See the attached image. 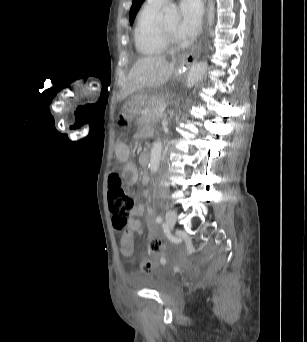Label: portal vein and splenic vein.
Listing matches in <instances>:
<instances>
[{
	"mask_svg": "<svg viewBox=\"0 0 307 342\" xmlns=\"http://www.w3.org/2000/svg\"><path fill=\"white\" fill-rule=\"evenodd\" d=\"M159 109H160L161 111H162V110L164 111L166 108H165L164 106H163V107L161 106Z\"/></svg>",
	"mask_w": 307,
	"mask_h": 342,
	"instance_id": "obj_1",
	"label": "portal vein and splenic vein"
}]
</instances>
